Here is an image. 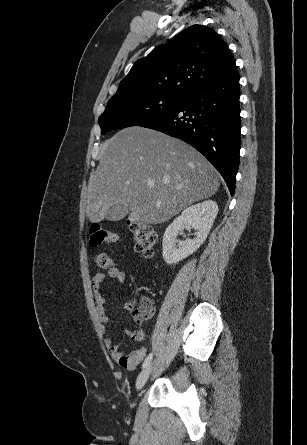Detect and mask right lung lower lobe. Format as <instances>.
I'll list each match as a JSON object with an SVG mask.
<instances>
[{
	"label": "right lung lower lobe",
	"instance_id": "98d812e1",
	"mask_svg": "<svg viewBox=\"0 0 307 445\" xmlns=\"http://www.w3.org/2000/svg\"><path fill=\"white\" fill-rule=\"evenodd\" d=\"M239 74L236 67L184 96L171 111L139 126L179 138L201 152L220 172L231 195L240 152Z\"/></svg>",
	"mask_w": 307,
	"mask_h": 445
}]
</instances>
